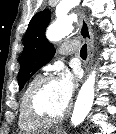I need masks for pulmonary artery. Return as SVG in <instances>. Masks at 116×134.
Listing matches in <instances>:
<instances>
[{
    "instance_id": "obj_1",
    "label": "pulmonary artery",
    "mask_w": 116,
    "mask_h": 134,
    "mask_svg": "<svg viewBox=\"0 0 116 134\" xmlns=\"http://www.w3.org/2000/svg\"><path fill=\"white\" fill-rule=\"evenodd\" d=\"M79 50V42L72 40L60 47V52L64 55L76 53Z\"/></svg>"
}]
</instances>
